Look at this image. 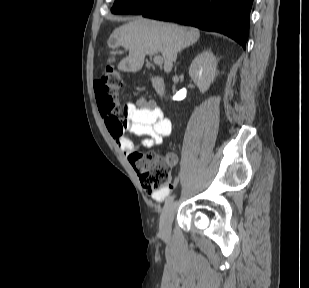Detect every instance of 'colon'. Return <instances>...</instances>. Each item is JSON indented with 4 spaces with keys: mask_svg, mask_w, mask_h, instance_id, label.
<instances>
[{
    "mask_svg": "<svg viewBox=\"0 0 309 288\" xmlns=\"http://www.w3.org/2000/svg\"><path fill=\"white\" fill-rule=\"evenodd\" d=\"M121 87L122 80L112 68H105L94 83V91L102 116L119 123L125 122L130 114L129 104L120 105L118 103V93ZM131 161L135 164L141 185L147 193H160L171 185L172 166L158 154L154 152L134 153Z\"/></svg>",
    "mask_w": 309,
    "mask_h": 288,
    "instance_id": "5ec220e1",
    "label": "colon"
}]
</instances>
